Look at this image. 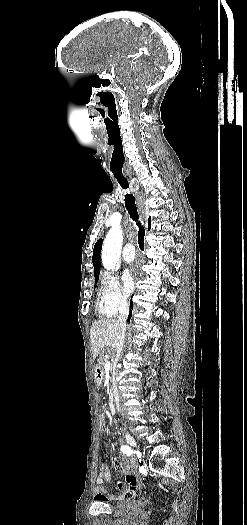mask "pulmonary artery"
Here are the masks:
<instances>
[{
  "label": "pulmonary artery",
  "mask_w": 247,
  "mask_h": 525,
  "mask_svg": "<svg viewBox=\"0 0 247 525\" xmlns=\"http://www.w3.org/2000/svg\"><path fill=\"white\" fill-rule=\"evenodd\" d=\"M133 246L131 244H127L124 246V249H123V258L124 260H127L128 262H131L133 260V254H134V251H133Z\"/></svg>",
  "instance_id": "e3ab8cb5"
}]
</instances>
